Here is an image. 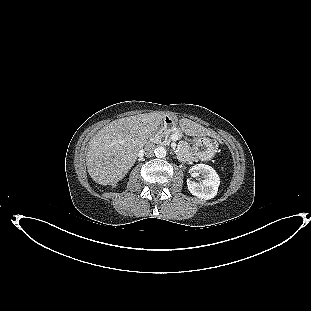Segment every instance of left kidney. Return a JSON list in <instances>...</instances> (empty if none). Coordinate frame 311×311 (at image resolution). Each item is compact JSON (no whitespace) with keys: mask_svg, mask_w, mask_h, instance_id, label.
Listing matches in <instances>:
<instances>
[{"mask_svg":"<svg viewBox=\"0 0 311 311\" xmlns=\"http://www.w3.org/2000/svg\"><path fill=\"white\" fill-rule=\"evenodd\" d=\"M191 172H199L203 176L202 183L187 180V186L190 193L198 198L209 200L217 195L220 185V178L216 171L206 164H196L191 169Z\"/></svg>","mask_w":311,"mask_h":311,"instance_id":"left-kidney-1","label":"left kidney"}]
</instances>
